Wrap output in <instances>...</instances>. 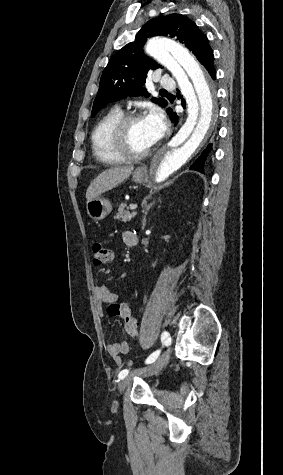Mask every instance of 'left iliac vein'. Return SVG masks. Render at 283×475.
Returning a JSON list of instances; mask_svg holds the SVG:
<instances>
[{
	"label": "left iliac vein",
	"instance_id": "1",
	"mask_svg": "<svg viewBox=\"0 0 283 475\" xmlns=\"http://www.w3.org/2000/svg\"><path fill=\"white\" fill-rule=\"evenodd\" d=\"M168 344L171 343V339L167 338ZM169 358V353L164 352L161 354L151 365L141 370H137L134 374L135 375H142L145 377H149L151 375L157 374L162 371V369L166 366ZM133 375L126 376L123 380L118 383V391L121 393L124 391L128 385L132 382Z\"/></svg>",
	"mask_w": 283,
	"mask_h": 475
}]
</instances>
